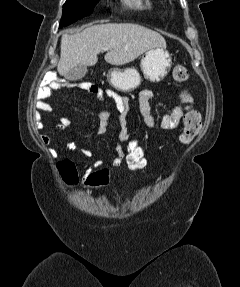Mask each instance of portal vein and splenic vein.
I'll list each match as a JSON object with an SVG mask.
<instances>
[{
  "label": "portal vein and splenic vein",
  "instance_id": "portal-vein-and-splenic-vein-1",
  "mask_svg": "<svg viewBox=\"0 0 240 287\" xmlns=\"http://www.w3.org/2000/svg\"><path fill=\"white\" fill-rule=\"evenodd\" d=\"M103 50H105V51H106V50H108V48H103Z\"/></svg>",
  "mask_w": 240,
  "mask_h": 287
}]
</instances>
